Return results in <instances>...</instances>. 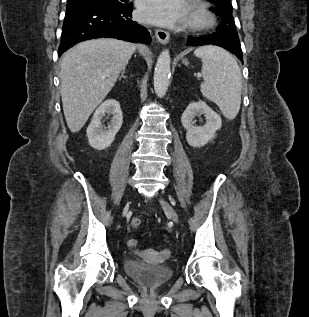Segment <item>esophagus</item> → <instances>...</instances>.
I'll use <instances>...</instances> for the list:
<instances>
[{"label": "esophagus", "instance_id": "obj_1", "mask_svg": "<svg viewBox=\"0 0 309 317\" xmlns=\"http://www.w3.org/2000/svg\"><path fill=\"white\" fill-rule=\"evenodd\" d=\"M155 36L158 42L161 44H167L169 42V33L162 29H156L155 30Z\"/></svg>", "mask_w": 309, "mask_h": 317}]
</instances>
